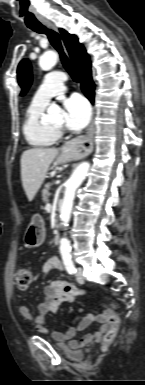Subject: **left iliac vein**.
<instances>
[{
    "label": "left iliac vein",
    "instance_id": "obj_1",
    "mask_svg": "<svg viewBox=\"0 0 145 385\" xmlns=\"http://www.w3.org/2000/svg\"><path fill=\"white\" fill-rule=\"evenodd\" d=\"M76 279H77V281L79 283H83L84 282L83 268L82 267H78L77 268Z\"/></svg>",
    "mask_w": 145,
    "mask_h": 385
}]
</instances>
